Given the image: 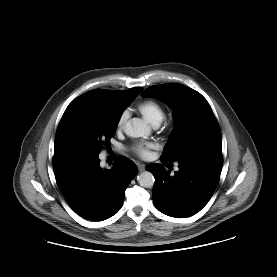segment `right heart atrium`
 Returning <instances> with one entry per match:
<instances>
[{"label":"right heart atrium","mask_w":277,"mask_h":277,"mask_svg":"<svg viewBox=\"0 0 277 277\" xmlns=\"http://www.w3.org/2000/svg\"><path fill=\"white\" fill-rule=\"evenodd\" d=\"M127 116H128L127 111H123L119 115V117L117 119V122H116V128H117V130H122L124 128L126 120H127Z\"/></svg>","instance_id":"obj_1"}]
</instances>
